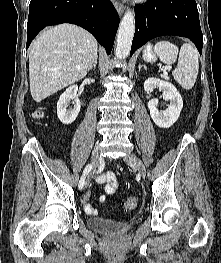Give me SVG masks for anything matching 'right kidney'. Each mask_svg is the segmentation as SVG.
<instances>
[{"instance_id": "1", "label": "right kidney", "mask_w": 221, "mask_h": 263, "mask_svg": "<svg viewBox=\"0 0 221 263\" xmlns=\"http://www.w3.org/2000/svg\"><path fill=\"white\" fill-rule=\"evenodd\" d=\"M77 91V85L68 87L57 102V116L64 125L73 123L80 112L81 103L78 99ZM71 100H73L74 108L67 109Z\"/></svg>"}]
</instances>
